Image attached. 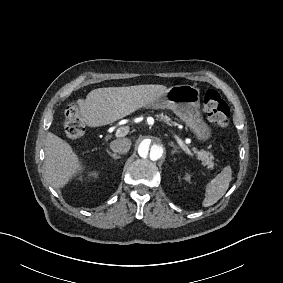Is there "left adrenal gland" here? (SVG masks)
<instances>
[{
	"label": "left adrenal gland",
	"mask_w": 283,
	"mask_h": 283,
	"mask_svg": "<svg viewBox=\"0 0 283 283\" xmlns=\"http://www.w3.org/2000/svg\"><path fill=\"white\" fill-rule=\"evenodd\" d=\"M170 146L174 148L173 152L171 153L172 155L179 153L177 146H175L173 143H171Z\"/></svg>",
	"instance_id": "a2214340"
}]
</instances>
